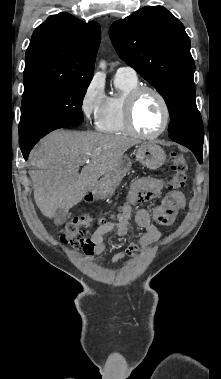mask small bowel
Returning a JSON list of instances; mask_svg holds the SVG:
<instances>
[{
  "mask_svg": "<svg viewBox=\"0 0 221 379\" xmlns=\"http://www.w3.org/2000/svg\"><path fill=\"white\" fill-rule=\"evenodd\" d=\"M164 180L155 177H142L136 180L128 193L116 221L102 223L91 235L84 251L88 256L101 254L105 249V236L114 233L117 236H125L128 233L130 220L132 219V205L159 196L164 188ZM185 208V196L180 191L169 192L162 203L154 209V220L162 225L169 226L173 223L177 213ZM135 223L142 229L139 241H130L125 251L116 253L111 263L130 261L138 256L141 249H147L156 243L161 232L152 222L151 215L145 209H139L134 215Z\"/></svg>",
  "mask_w": 221,
  "mask_h": 379,
  "instance_id": "small-bowel-1",
  "label": "small bowel"
}]
</instances>
